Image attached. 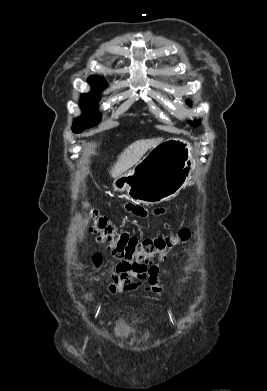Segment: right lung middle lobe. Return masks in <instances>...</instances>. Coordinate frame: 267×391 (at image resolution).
Here are the masks:
<instances>
[{"label": "right lung middle lobe", "instance_id": "obj_1", "mask_svg": "<svg viewBox=\"0 0 267 391\" xmlns=\"http://www.w3.org/2000/svg\"><path fill=\"white\" fill-rule=\"evenodd\" d=\"M99 98L98 93L95 91H91L90 93L81 96V108L84 111V114L74 120L72 126L73 132L80 133L84 129L90 128L100 121L101 116L97 112V101Z\"/></svg>", "mask_w": 267, "mask_h": 391}]
</instances>
